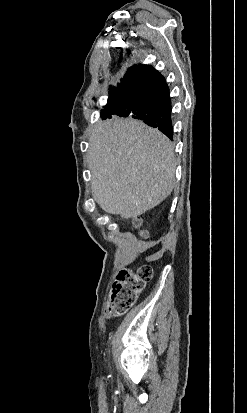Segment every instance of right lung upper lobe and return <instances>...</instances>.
<instances>
[{"instance_id": "1", "label": "right lung upper lobe", "mask_w": 247, "mask_h": 413, "mask_svg": "<svg viewBox=\"0 0 247 413\" xmlns=\"http://www.w3.org/2000/svg\"><path fill=\"white\" fill-rule=\"evenodd\" d=\"M149 70H154V69L151 66H147V65L133 66L129 68L124 79H122V82H128L131 77H133L135 74L139 73L140 71H149Z\"/></svg>"}]
</instances>
